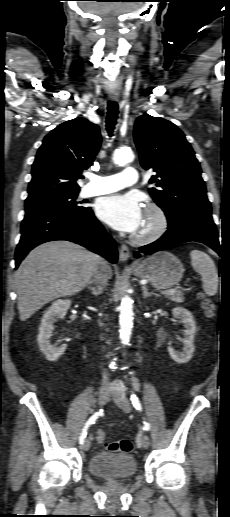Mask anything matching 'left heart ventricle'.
<instances>
[{"label":"left heart ventricle","instance_id":"1","mask_svg":"<svg viewBox=\"0 0 230 517\" xmlns=\"http://www.w3.org/2000/svg\"><path fill=\"white\" fill-rule=\"evenodd\" d=\"M153 223H154V221H153L152 216H150L149 214H147L145 212L142 223L136 233L138 234V233H143V232L148 231L153 226Z\"/></svg>","mask_w":230,"mask_h":517}]
</instances>
